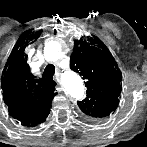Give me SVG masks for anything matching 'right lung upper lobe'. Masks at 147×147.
I'll list each match as a JSON object with an SVG mask.
<instances>
[{
  "label": "right lung upper lobe",
  "mask_w": 147,
  "mask_h": 147,
  "mask_svg": "<svg viewBox=\"0 0 147 147\" xmlns=\"http://www.w3.org/2000/svg\"><path fill=\"white\" fill-rule=\"evenodd\" d=\"M24 38L19 40L5 69L2 88L10 114L25 126H35L49 115L56 83L32 76L25 60V46H21Z\"/></svg>",
  "instance_id": "obj_1"
}]
</instances>
